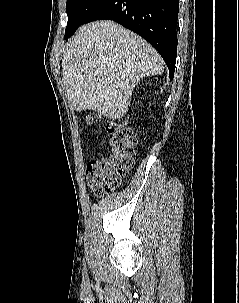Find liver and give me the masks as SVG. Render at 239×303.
Here are the masks:
<instances>
[{
    "instance_id": "1",
    "label": "liver",
    "mask_w": 239,
    "mask_h": 303,
    "mask_svg": "<svg viewBox=\"0 0 239 303\" xmlns=\"http://www.w3.org/2000/svg\"><path fill=\"white\" fill-rule=\"evenodd\" d=\"M164 63L144 39L113 21L82 26L67 44L62 74L68 101L110 119L128 111L136 83L161 75Z\"/></svg>"
}]
</instances>
